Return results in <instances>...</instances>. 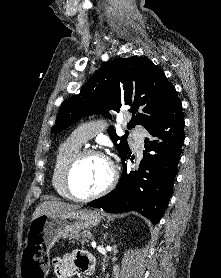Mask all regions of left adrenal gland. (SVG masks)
<instances>
[{"mask_svg":"<svg viewBox=\"0 0 221 278\" xmlns=\"http://www.w3.org/2000/svg\"><path fill=\"white\" fill-rule=\"evenodd\" d=\"M107 238V233L104 235V239H106Z\"/></svg>","mask_w":221,"mask_h":278,"instance_id":"a2214340","label":"left adrenal gland"}]
</instances>
